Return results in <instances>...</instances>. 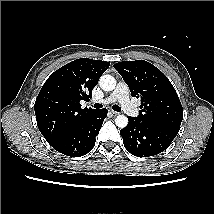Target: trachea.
<instances>
[{"label": "trachea", "instance_id": "1", "mask_svg": "<svg viewBox=\"0 0 214 214\" xmlns=\"http://www.w3.org/2000/svg\"><path fill=\"white\" fill-rule=\"evenodd\" d=\"M93 107L96 108V109H99V108H102L103 105L100 104V103H95V104L93 105ZM112 109L115 110V111H117V112H120V111H121V108H120L118 105H113V106H112Z\"/></svg>", "mask_w": 214, "mask_h": 214}]
</instances>
